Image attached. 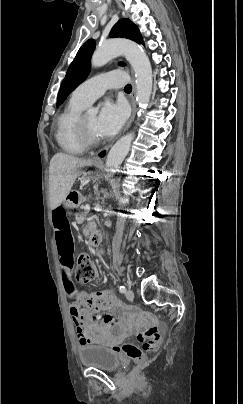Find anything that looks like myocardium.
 Listing matches in <instances>:
<instances>
[{"instance_id": "obj_1", "label": "myocardium", "mask_w": 243, "mask_h": 404, "mask_svg": "<svg viewBox=\"0 0 243 404\" xmlns=\"http://www.w3.org/2000/svg\"><path fill=\"white\" fill-rule=\"evenodd\" d=\"M89 34H100V32H89ZM76 132L82 142L86 144L88 147H93L98 143L96 137H93L87 133L83 125V117H79L76 122Z\"/></svg>"}]
</instances>
